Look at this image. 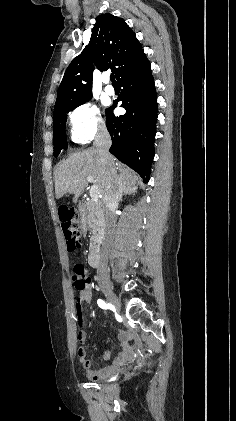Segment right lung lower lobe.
Listing matches in <instances>:
<instances>
[{
  "label": "right lung lower lobe",
  "instance_id": "right-lung-lower-lobe-1",
  "mask_svg": "<svg viewBox=\"0 0 236 421\" xmlns=\"http://www.w3.org/2000/svg\"><path fill=\"white\" fill-rule=\"evenodd\" d=\"M117 80L123 88L118 101H122L120 107L127 113L120 117L113 114L117 101L106 109V126L112 139L109 151L147 183L154 157L158 110L154 80L146 56L123 69Z\"/></svg>",
  "mask_w": 236,
  "mask_h": 421
}]
</instances>
